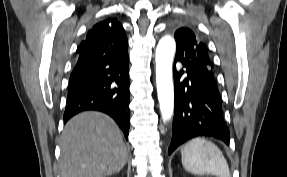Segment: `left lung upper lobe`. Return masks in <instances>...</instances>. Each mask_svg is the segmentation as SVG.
I'll return each instance as SVG.
<instances>
[{
	"label": "left lung upper lobe",
	"mask_w": 287,
	"mask_h": 177,
	"mask_svg": "<svg viewBox=\"0 0 287 177\" xmlns=\"http://www.w3.org/2000/svg\"><path fill=\"white\" fill-rule=\"evenodd\" d=\"M174 37L177 44L176 55L214 82L213 66L206 45L188 28L178 29Z\"/></svg>",
	"instance_id": "1"
}]
</instances>
